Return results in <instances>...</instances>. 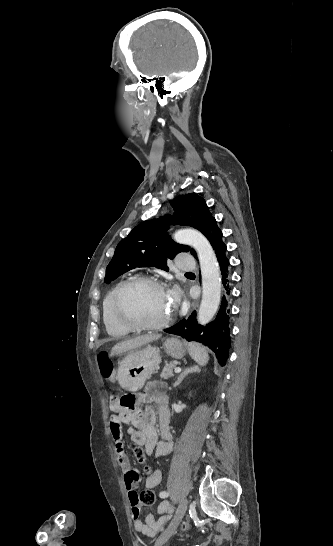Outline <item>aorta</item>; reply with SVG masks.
<instances>
[{"instance_id":"obj_1","label":"aorta","mask_w":333,"mask_h":546,"mask_svg":"<svg viewBox=\"0 0 333 546\" xmlns=\"http://www.w3.org/2000/svg\"><path fill=\"white\" fill-rule=\"evenodd\" d=\"M173 238L178 243L190 245L197 251L203 289L198 322L205 325L212 320L220 304L221 279L215 253L208 240L195 229L179 230Z\"/></svg>"}]
</instances>
